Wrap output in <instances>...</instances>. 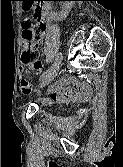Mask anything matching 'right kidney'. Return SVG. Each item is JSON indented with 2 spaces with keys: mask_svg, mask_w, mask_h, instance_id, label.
I'll use <instances>...</instances> for the list:
<instances>
[{
  "mask_svg": "<svg viewBox=\"0 0 123 167\" xmlns=\"http://www.w3.org/2000/svg\"><path fill=\"white\" fill-rule=\"evenodd\" d=\"M63 8L62 11L59 14L52 15L54 19L56 20H63L67 17L68 13L70 12L73 2H63Z\"/></svg>",
  "mask_w": 123,
  "mask_h": 167,
  "instance_id": "1",
  "label": "right kidney"
}]
</instances>
